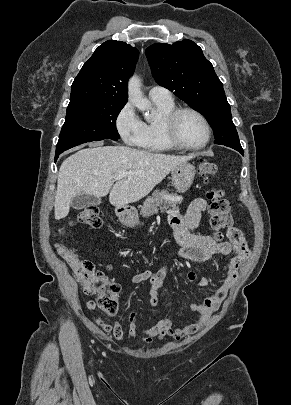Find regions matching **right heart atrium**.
<instances>
[{
    "label": "right heart atrium",
    "instance_id": "d8ad5b80",
    "mask_svg": "<svg viewBox=\"0 0 291 405\" xmlns=\"http://www.w3.org/2000/svg\"><path fill=\"white\" fill-rule=\"evenodd\" d=\"M115 127L126 145L139 146L144 125L131 103H125L120 108L115 117Z\"/></svg>",
    "mask_w": 291,
    "mask_h": 405
}]
</instances>
